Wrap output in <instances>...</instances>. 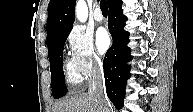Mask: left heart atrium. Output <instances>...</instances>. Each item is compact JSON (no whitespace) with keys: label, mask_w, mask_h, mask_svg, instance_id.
I'll list each match as a JSON object with an SVG mask.
<instances>
[{"label":"left heart atrium","mask_w":193,"mask_h":112,"mask_svg":"<svg viewBox=\"0 0 193 112\" xmlns=\"http://www.w3.org/2000/svg\"><path fill=\"white\" fill-rule=\"evenodd\" d=\"M95 40L98 52L104 54L111 44L109 33L104 28H100L96 33Z\"/></svg>","instance_id":"1"}]
</instances>
